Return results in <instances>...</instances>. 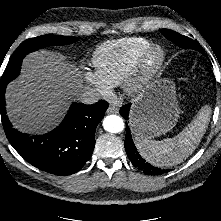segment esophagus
<instances>
[{
    "label": "esophagus",
    "mask_w": 221,
    "mask_h": 221,
    "mask_svg": "<svg viewBox=\"0 0 221 221\" xmlns=\"http://www.w3.org/2000/svg\"><path fill=\"white\" fill-rule=\"evenodd\" d=\"M119 112V109L117 106L115 105H110L107 109V113H114V114H117Z\"/></svg>",
    "instance_id": "obj_1"
}]
</instances>
